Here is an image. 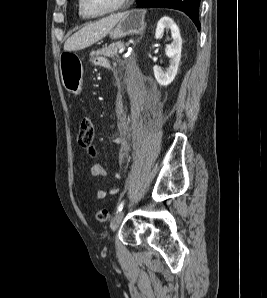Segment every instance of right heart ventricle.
<instances>
[{
  "label": "right heart ventricle",
  "instance_id": "right-heart-ventricle-1",
  "mask_svg": "<svg viewBox=\"0 0 267 298\" xmlns=\"http://www.w3.org/2000/svg\"><path fill=\"white\" fill-rule=\"evenodd\" d=\"M79 14H80L82 17L86 18V16L81 12L80 8H79Z\"/></svg>",
  "mask_w": 267,
  "mask_h": 298
}]
</instances>
